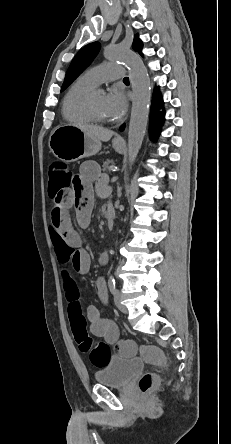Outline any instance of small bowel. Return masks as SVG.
<instances>
[{
	"mask_svg": "<svg viewBox=\"0 0 231 444\" xmlns=\"http://www.w3.org/2000/svg\"><path fill=\"white\" fill-rule=\"evenodd\" d=\"M95 191L101 197H106L110 192L107 177L100 172L94 162H84L74 185L66 190L61 197L59 205H51L50 210V237L60 263L70 266L77 273H87L90 268V256L81 246V238L73 229L69 209L75 208V217L80 227H86L90 223ZM102 263L107 261V255L100 258ZM64 288L69 299H77L78 292L70 269L64 268L61 272ZM96 289L105 298V287L102 280L96 283ZM87 319L90 323V331L95 336L103 338L108 343H115L119 338V330L116 324L101 316L96 306H88Z\"/></svg>",
	"mask_w": 231,
	"mask_h": 444,
	"instance_id": "1",
	"label": "small bowel"
}]
</instances>
